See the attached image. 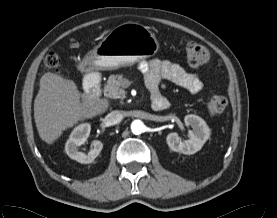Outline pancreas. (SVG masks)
Instances as JSON below:
<instances>
[{
	"label": "pancreas",
	"mask_w": 277,
	"mask_h": 218,
	"mask_svg": "<svg viewBox=\"0 0 277 218\" xmlns=\"http://www.w3.org/2000/svg\"><path fill=\"white\" fill-rule=\"evenodd\" d=\"M124 78L122 74L110 75L107 84L104 86V94L110 98H125V91L122 87Z\"/></svg>",
	"instance_id": "obj_1"
}]
</instances>
